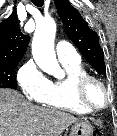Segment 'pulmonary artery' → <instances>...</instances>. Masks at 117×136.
Instances as JSON below:
<instances>
[{
	"mask_svg": "<svg viewBox=\"0 0 117 136\" xmlns=\"http://www.w3.org/2000/svg\"><path fill=\"white\" fill-rule=\"evenodd\" d=\"M56 54L60 62H79L80 56L73 46L66 41H59L56 44Z\"/></svg>",
	"mask_w": 117,
	"mask_h": 136,
	"instance_id": "1",
	"label": "pulmonary artery"
}]
</instances>
